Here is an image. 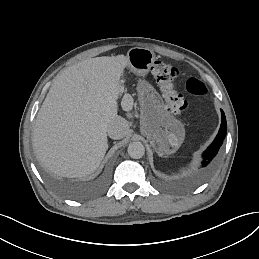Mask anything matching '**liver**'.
I'll use <instances>...</instances> for the list:
<instances>
[{
    "mask_svg": "<svg viewBox=\"0 0 259 259\" xmlns=\"http://www.w3.org/2000/svg\"><path fill=\"white\" fill-rule=\"evenodd\" d=\"M124 55L86 59L60 73L38 111L33 149L41 164L66 177L93 173L109 148L117 117ZM122 109L128 107L122 104Z\"/></svg>",
    "mask_w": 259,
    "mask_h": 259,
    "instance_id": "obj_1",
    "label": "liver"
}]
</instances>
